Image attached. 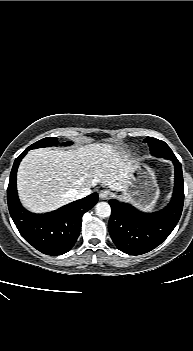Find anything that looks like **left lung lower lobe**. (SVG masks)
Listing matches in <instances>:
<instances>
[{
  "label": "left lung lower lobe",
  "mask_w": 193,
  "mask_h": 351,
  "mask_svg": "<svg viewBox=\"0 0 193 351\" xmlns=\"http://www.w3.org/2000/svg\"><path fill=\"white\" fill-rule=\"evenodd\" d=\"M175 186L171 202L155 213H143L127 203L109 201L112 209L108 228L117 248L129 255H141L160 245L178 223L184 201L182 167L174 156Z\"/></svg>",
  "instance_id": "0a47b994"
}]
</instances>
